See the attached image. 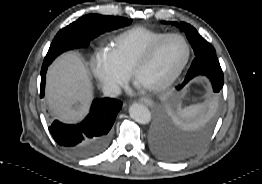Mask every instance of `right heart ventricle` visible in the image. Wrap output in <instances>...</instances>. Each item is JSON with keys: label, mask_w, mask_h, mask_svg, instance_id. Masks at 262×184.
<instances>
[{"label": "right heart ventricle", "mask_w": 262, "mask_h": 184, "mask_svg": "<svg viewBox=\"0 0 262 184\" xmlns=\"http://www.w3.org/2000/svg\"><path fill=\"white\" fill-rule=\"evenodd\" d=\"M163 34L144 27H133L115 36L109 51L119 65L130 73L145 49Z\"/></svg>", "instance_id": "1"}]
</instances>
